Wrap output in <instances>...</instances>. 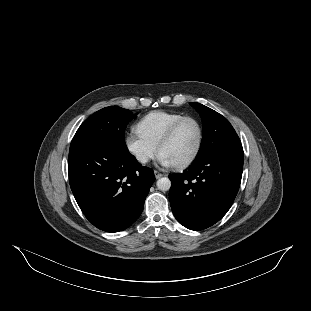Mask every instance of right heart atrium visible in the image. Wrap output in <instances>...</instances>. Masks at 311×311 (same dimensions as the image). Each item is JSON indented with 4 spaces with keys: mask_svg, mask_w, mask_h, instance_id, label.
<instances>
[{
    "mask_svg": "<svg viewBox=\"0 0 311 311\" xmlns=\"http://www.w3.org/2000/svg\"><path fill=\"white\" fill-rule=\"evenodd\" d=\"M124 145L128 154L141 166L147 165L157 154V148L149 145L134 130L126 134Z\"/></svg>",
    "mask_w": 311,
    "mask_h": 311,
    "instance_id": "obj_1",
    "label": "right heart atrium"
}]
</instances>
